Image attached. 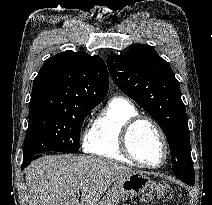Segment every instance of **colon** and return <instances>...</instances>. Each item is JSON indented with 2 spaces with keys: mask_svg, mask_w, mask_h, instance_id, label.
I'll list each match as a JSON object with an SVG mask.
<instances>
[{
  "mask_svg": "<svg viewBox=\"0 0 212 205\" xmlns=\"http://www.w3.org/2000/svg\"><path fill=\"white\" fill-rule=\"evenodd\" d=\"M173 195V189L169 184L164 182H154L151 184L149 190L143 195V201L171 200Z\"/></svg>",
  "mask_w": 212,
  "mask_h": 205,
  "instance_id": "colon-1",
  "label": "colon"
}]
</instances>
